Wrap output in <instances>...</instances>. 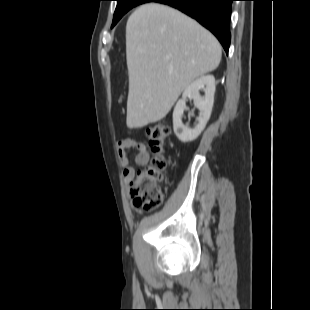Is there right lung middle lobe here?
Here are the masks:
<instances>
[{
	"label": "right lung middle lobe",
	"mask_w": 310,
	"mask_h": 310,
	"mask_svg": "<svg viewBox=\"0 0 310 310\" xmlns=\"http://www.w3.org/2000/svg\"><path fill=\"white\" fill-rule=\"evenodd\" d=\"M117 7L114 13L112 27L121 19V17L127 13L133 7L142 3L150 2L152 0H117Z\"/></svg>",
	"instance_id": "obj_1"
}]
</instances>
